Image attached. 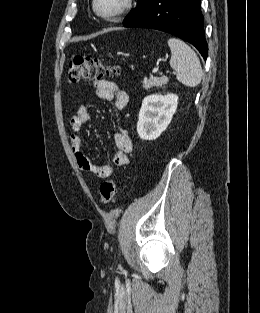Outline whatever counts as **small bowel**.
I'll list each match as a JSON object with an SVG mask.
<instances>
[{"label":"small bowel","mask_w":260,"mask_h":313,"mask_svg":"<svg viewBox=\"0 0 260 313\" xmlns=\"http://www.w3.org/2000/svg\"><path fill=\"white\" fill-rule=\"evenodd\" d=\"M96 95L104 100L112 101L117 111H122L128 104V93L118 84L101 79L94 82ZM90 122V114L84 105L79 106L76 113L69 118L70 144L76 164L81 172L91 174L99 178L110 177L114 172L111 165L93 164L82 150L80 131ZM115 153L113 162L116 166H125L129 163L128 155L133 149L132 140L124 129L113 134Z\"/></svg>","instance_id":"c3829d8e"}]
</instances>
